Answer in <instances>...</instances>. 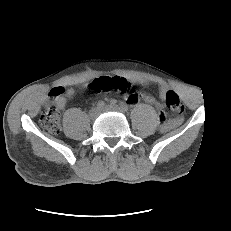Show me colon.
<instances>
[{"label": "colon", "instance_id": "5ec220e1", "mask_svg": "<svg viewBox=\"0 0 231 231\" xmlns=\"http://www.w3.org/2000/svg\"><path fill=\"white\" fill-rule=\"evenodd\" d=\"M90 89L95 92L99 91H117V92H127L130 89V84L124 78L120 77H102L95 79L90 84ZM62 94L61 89H53L51 91V97L53 99L57 98ZM165 107L175 114H181L184 110V105L175 91L168 90L165 94ZM40 122L45 129L51 133H59L60 126V116L56 105L51 104L48 106L40 115ZM178 123V120H175ZM160 123L162 126L165 125V110L160 109Z\"/></svg>", "mask_w": 231, "mask_h": 231}]
</instances>
